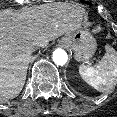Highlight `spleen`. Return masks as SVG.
I'll use <instances>...</instances> for the list:
<instances>
[{"instance_id": "obj_1", "label": "spleen", "mask_w": 117, "mask_h": 117, "mask_svg": "<svg viewBox=\"0 0 117 117\" xmlns=\"http://www.w3.org/2000/svg\"><path fill=\"white\" fill-rule=\"evenodd\" d=\"M79 73L96 90H109L117 82V52L107 46L105 55L96 66L80 65Z\"/></svg>"}]
</instances>
